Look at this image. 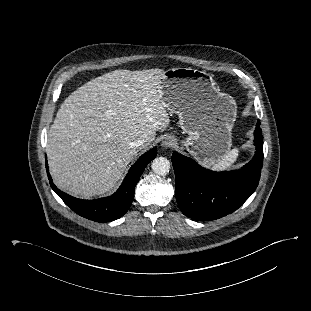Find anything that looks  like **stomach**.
I'll use <instances>...</instances> for the list:
<instances>
[{
  "label": "stomach",
  "instance_id": "0dacf381",
  "mask_svg": "<svg viewBox=\"0 0 311 311\" xmlns=\"http://www.w3.org/2000/svg\"><path fill=\"white\" fill-rule=\"evenodd\" d=\"M160 86L164 106L178 114L188 134L182 142L186 150L204 166L220 161L232 145L234 99L219 91L211 75L192 68L168 69Z\"/></svg>",
  "mask_w": 311,
  "mask_h": 311
}]
</instances>
